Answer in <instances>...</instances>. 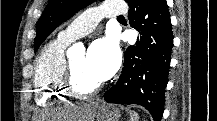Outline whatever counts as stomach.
<instances>
[{"instance_id": "obj_1", "label": "stomach", "mask_w": 217, "mask_h": 121, "mask_svg": "<svg viewBox=\"0 0 217 121\" xmlns=\"http://www.w3.org/2000/svg\"><path fill=\"white\" fill-rule=\"evenodd\" d=\"M120 110L110 104H97L91 115L90 121H119Z\"/></svg>"}]
</instances>
